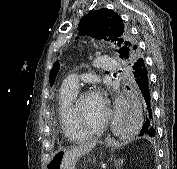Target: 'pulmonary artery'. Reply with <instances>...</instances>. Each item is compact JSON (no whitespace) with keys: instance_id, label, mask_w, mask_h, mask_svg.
Returning a JSON list of instances; mask_svg holds the SVG:
<instances>
[{"instance_id":"obj_1","label":"pulmonary artery","mask_w":177,"mask_h":169,"mask_svg":"<svg viewBox=\"0 0 177 169\" xmlns=\"http://www.w3.org/2000/svg\"><path fill=\"white\" fill-rule=\"evenodd\" d=\"M115 66V61L107 56H102L95 62V67L97 70L112 68ZM62 88L66 90L78 91L79 88V77L76 73H72L67 76L63 83Z\"/></svg>"}]
</instances>
